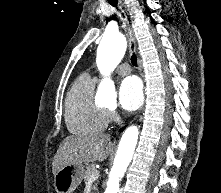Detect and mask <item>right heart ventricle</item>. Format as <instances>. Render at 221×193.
<instances>
[{
    "label": "right heart ventricle",
    "instance_id": "1",
    "mask_svg": "<svg viewBox=\"0 0 221 193\" xmlns=\"http://www.w3.org/2000/svg\"><path fill=\"white\" fill-rule=\"evenodd\" d=\"M65 120L69 131L74 134L94 133L107 126V111L95 102L94 81L89 76H80L68 91Z\"/></svg>",
    "mask_w": 221,
    "mask_h": 193
}]
</instances>
